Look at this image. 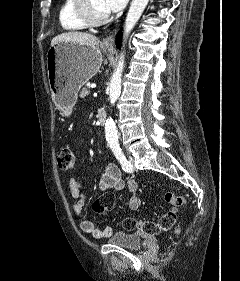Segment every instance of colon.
<instances>
[{
	"label": "colon",
	"mask_w": 240,
	"mask_h": 281,
	"mask_svg": "<svg viewBox=\"0 0 240 281\" xmlns=\"http://www.w3.org/2000/svg\"><path fill=\"white\" fill-rule=\"evenodd\" d=\"M57 164L62 171L73 170L76 165L74 152L70 148H63L58 155ZM164 199L172 205V208L162 215L158 222L126 218L122 222L123 227L129 231L139 230L146 234H157L160 231L171 229L177 221L179 210L187 207V200L174 192H166ZM113 205V197L105 194L94 201L92 209L97 215L106 216ZM178 232L179 228L176 229V233Z\"/></svg>",
	"instance_id": "colon-1"
}]
</instances>
